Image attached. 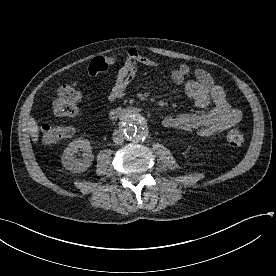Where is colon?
<instances>
[{
  "label": "colon",
  "mask_w": 276,
  "mask_h": 276,
  "mask_svg": "<svg viewBox=\"0 0 276 276\" xmlns=\"http://www.w3.org/2000/svg\"><path fill=\"white\" fill-rule=\"evenodd\" d=\"M82 98L80 89L75 85H64L58 89L53 102V110L60 117L72 118L81 113L79 102ZM43 141L47 144L57 143L71 136L73 130L70 127L43 125L41 127ZM227 143L234 148L241 147L244 143L243 133L236 128L226 134Z\"/></svg>",
  "instance_id": "1"
}]
</instances>
